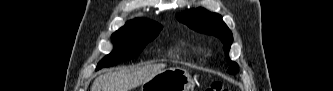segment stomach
Returning a JSON list of instances; mask_svg holds the SVG:
<instances>
[{"label":"stomach","mask_w":333,"mask_h":91,"mask_svg":"<svg viewBox=\"0 0 333 91\" xmlns=\"http://www.w3.org/2000/svg\"><path fill=\"white\" fill-rule=\"evenodd\" d=\"M193 81L181 67H170L141 85V91H192Z\"/></svg>","instance_id":"obj_1"}]
</instances>
